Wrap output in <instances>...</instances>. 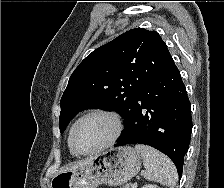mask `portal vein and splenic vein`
Instances as JSON below:
<instances>
[{"mask_svg":"<svg viewBox=\"0 0 224 188\" xmlns=\"http://www.w3.org/2000/svg\"><path fill=\"white\" fill-rule=\"evenodd\" d=\"M137 187V183H134L133 185H132V188H136ZM126 188H129V185H126Z\"/></svg>","mask_w":224,"mask_h":188,"instance_id":"portal-vein-and-splenic-vein-1","label":"portal vein and splenic vein"}]
</instances>
